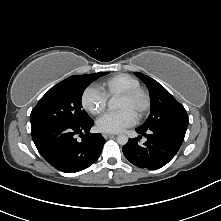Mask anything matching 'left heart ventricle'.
Returning <instances> with one entry per match:
<instances>
[{"mask_svg":"<svg viewBox=\"0 0 221 221\" xmlns=\"http://www.w3.org/2000/svg\"><path fill=\"white\" fill-rule=\"evenodd\" d=\"M142 104H143V99L140 97L134 100H127V99L119 98L118 109L119 110L128 109L134 115H136V113L138 112Z\"/></svg>","mask_w":221,"mask_h":221,"instance_id":"b2bd125f","label":"left heart ventricle"}]
</instances>
